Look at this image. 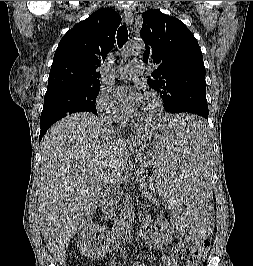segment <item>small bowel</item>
I'll return each instance as SVG.
<instances>
[{"label": "small bowel", "instance_id": "small-bowel-1", "mask_svg": "<svg viewBox=\"0 0 253 266\" xmlns=\"http://www.w3.org/2000/svg\"><path fill=\"white\" fill-rule=\"evenodd\" d=\"M178 248H174L170 255L163 256V266H182L178 259ZM141 266V265H136Z\"/></svg>", "mask_w": 253, "mask_h": 266}]
</instances>
